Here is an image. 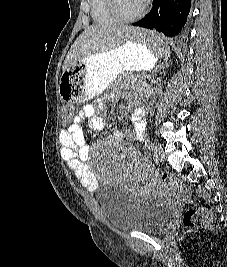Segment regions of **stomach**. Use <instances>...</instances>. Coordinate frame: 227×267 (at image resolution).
<instances>
[{
	"label": "stomach",
	"instance_id": "obj_1",
	"mask_svg": "<svg viewBox=\"0 0 227 267\" xmlns=\"http://www.w3.org/2000/svg\"><path fill=\"white\" fill-rule=\"evenodd\" d=\"M156 62L149 47L131 43L130 39L112 50L69 64L60 77L59 101L84 104L106 90L122 73L148 71Z\"/></svg>",
	"mask_w": 227,
	"mask_h": 267
}]
</instances>
